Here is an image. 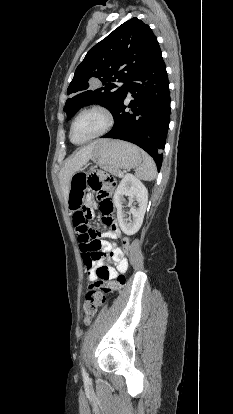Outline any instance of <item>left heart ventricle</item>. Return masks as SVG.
<instances>
[{"instance_id": "1", "label": "left heart ventricle", "mask_w": 233, "mask_h": 414, "mask_svg": "<svg viewBox=\"0 0 233 414\" xmlns=\"http://www.w3.org/2000/svg\"><path fill=\"white\" fill-rule=\"evenodd\" d=\"M103 124L102 116L95 112L82 115L74 126L73 140L79 142L89 138L98 132L103 127Z\"/></svg>"}]
</instances>
